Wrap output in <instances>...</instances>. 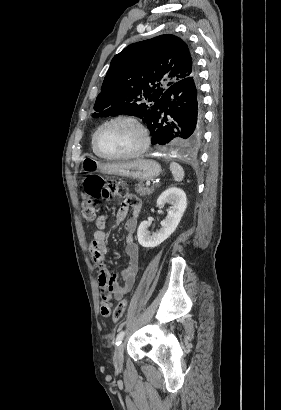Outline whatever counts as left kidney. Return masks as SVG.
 <instances>
[{
    "label": "left kidney",
    "mask_w": 281,
    "mask_h": 410,
    "mask_svg": "<svg viewBox=\"0 0 281 410\" xmlns=\"http://www.w3.org/2000/svg\"><path fill=\"white\" fill-rule=\"evenodd\" d=\"M170 204L171 207L165 220L161 222L159 231L150 234L149 223L141 222L138 227L137 237L139 244L144 248H153L165 241L177 228L187 207L185 192L177 187H170L165 190L157 199L158 206Z\"/></svg>",
    "instance_id": "obj_1"
}]
</instances>
